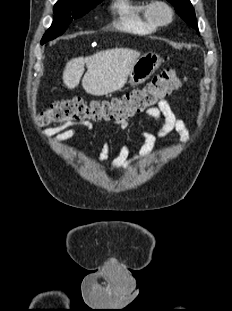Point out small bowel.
I'll use <instances>...</instances> for the list:
<instances>
[{
	"instance_id": "1",
	"label": "small bowel",
	"mask_w": 232,
	"mask_h": 311,
	"mask_svg": "<svg viewBox=\"0 0 232 311\" xmlns=\"http://www.w3.org/2000/svg\"><path fill=\"white\" fill-rule=\"evenodd\" d=\"M145 114L150 117L157 125V135L165 136L171 132H177L182 137H186L187 128L181 119H179L172 108L166 100H161L157 106L151 107L146 110ZM117 127L126 131L129 127V124L125 120L115 121ZM93 126L90 122L84 121L80 123L67 122L61 126L48 128L44 131V136L52 140V144L57 147L61 143L68 141L75 137L79 130L90 131ZM141 135L144 139V143L135 156H129V146L124 145L115 156L111 163V169L118 170L123 168H129L138 162L143 161L149 155L155 140L156 136L150 131L142 130ZM110 148L109 144L105 142L99 153V161L105 163L109 159Z\"/></svg>"
}]
</instances>
